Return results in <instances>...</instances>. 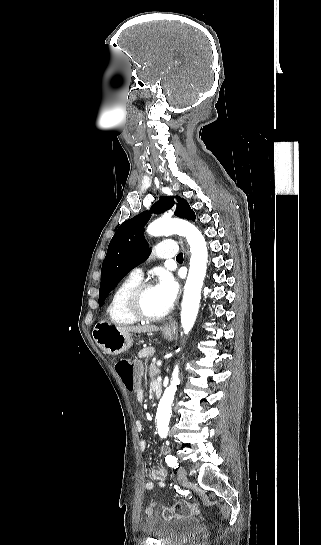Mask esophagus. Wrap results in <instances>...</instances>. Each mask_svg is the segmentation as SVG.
I'll return each instance as SVG.
<instances>
[{
	"label": "esophagus",
	"instance_id": "34e87169",
	"mask_svg": "<svg viewBox=\"0 0 321 545\" xmlns=\"http://www.w3.org/2000/svg\"><path fill=\"white\" fill-rule=\"evenodd\" d=\"M183 247H184L185 254H186V256H187V255H188V251H187V246H186L185 242H184ZM171 327H172L171 325L167 326V328H171Z\"/></svg>",
	"mask_w": 321,
	"mask_h": 545
}]
</instances>
